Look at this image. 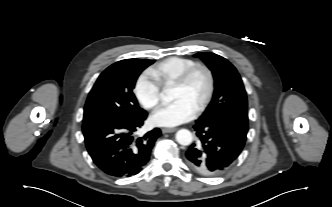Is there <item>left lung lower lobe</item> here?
<instances>
[{
  "mask_svg": "<svg viewBox=\"0 0 332 207\" xmlns=\"http://www.w3.org/2000/svg\"><path fill=\"white\" fill-rule=\"evenodd\" d=\"M198 142L186 152L188 165L204 176L225 172L241 153L248 132L247 114L233 113L211 121L197 120Z\"/></svg>",
  "mask_w": 332,
  "mask_h": 207,
  "instance_id": "obj_1",
  "label": "left lung lower lobe"
}]
</instances>
